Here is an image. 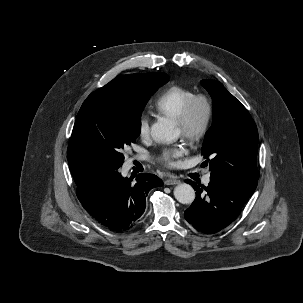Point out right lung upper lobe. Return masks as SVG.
Returning a JSON list of instances; mask_svg holds the SVG:
<instances>
[{"instance_id": "obj_1", "label": "right lung upper lobe", "mask_w": 303, "mask_h": 303, "mask_svg": "<svg viewBox=\"0 0 303 303\" xmlns=\"http://www.w3.org/2000/svg\"><path fill=\"white\" fill-rule=\"evenodd\" d=\"M158 73L129 74L119 76L113 79L104 87L112 88L122 93H142L151 85L154 80V77ZM67 159L77 161L78 163L82 164L88 170L89 173L98 170L97 167H95V165L91 162L89 157L83 152L74 151L69 148L67 150Z\"/></svg>"}]
</instances>
